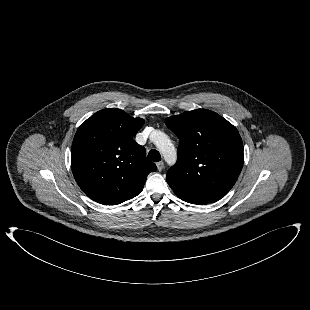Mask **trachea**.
<instances>
[{
  "mask_svg": "<svg viewBox=\"0 0 310 310\" xmlns=\"http://www.w3.org/2000/svg\"><path fill=\"white\" fill-rule=\"evenodd\" d=\"M148 158L153 162H159L161 160V155L157 150H151L148 153Z\"/></svg>",
  "mask_w": 310,
  "mask_h": 310,
  "instance_id": "1",
  "label": "trachea"
}]
</instances>
